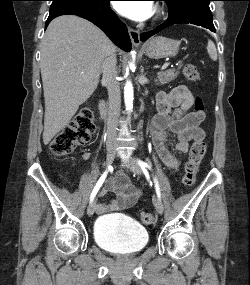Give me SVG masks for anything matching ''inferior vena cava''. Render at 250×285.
<instances>
[{"label":"inferior vena cava","mask_w":250,"mask_h":285,"mask_svg":"<svg viewBox=\"0 0 250 285\" xmlns=\"http://www.w3.org/2000/svg\"><path fill=\"white\" fill-rule=\"evenodd\" d=\"M116 55L112 52L102 63V82L106 85L109 96L107 140L111 144L117 135L118 117L121 107L120 83L117 80Z\"/></svg>","instance_id":"602c4592"}]
</instances>
